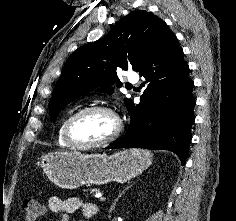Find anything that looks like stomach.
I'll list each match as a JSON object with an SVG mask.
<instances>
[{
    "instance_id": "obj_1",
    "label": "stomach",
    "mask_w": 236,
    "mask_h": 221,
    "mask_svg": "<svg viewBox=\"0 0 236 221\" xmlns=\"http://www.w3.org/2000/svg\"><path fill=\"white\" fill-rule=\"evenodd\" d=\"M152 163V154L143 149H127L112 155H85L77 151L54 152L42 157L40 166L48 179L63 189L84 185L126 182Z\"/></svg>"
}]
</instances>
